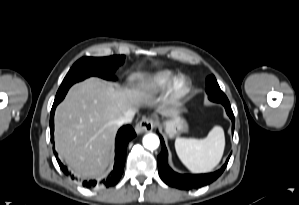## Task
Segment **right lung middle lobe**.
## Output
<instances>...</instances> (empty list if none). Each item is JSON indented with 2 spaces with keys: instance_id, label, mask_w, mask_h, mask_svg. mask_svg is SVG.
Listing matches in <instances>:
<instances>
[{
  "instance_id": "right-lung-middle-lobe-1",
  "label": "right lung middle lobe",
  "mask_w": 299,
  "mask_h": 205,
  "mask_svg": "<svg viewBox=\"0 0 299 205\" xmlns=\"http://www.w3.org/2000/svg\"><path fill=\"white\" fill-rule=\"evenodd\" d=\"M124 55L94 58L83 57L69 70L57 94L55 102H60L65 97L68 89L76 82L90 76H99L104 79H115L114 72L124 62Z\"/></svg>"
}]
</instances>
